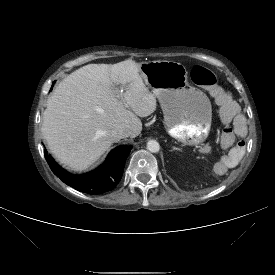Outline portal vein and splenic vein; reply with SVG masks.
<instances>
[{"mask_svg": "<svg viewBox=\"0 0 275 275\" xmlns=\"http://www.w3.org/2000/svg\"><path fill=\"white\" fill-rule=\"evenodd\" d=\"M210 150H211V147H205V148H202L201 152L208 153L210 152Z\"/></svg>", "mask_w": 275, "mask_h": 275, "instance_id": "1", "label": "portal vein and splenic vein"}]
</instances>
